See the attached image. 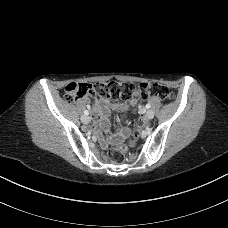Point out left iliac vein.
<instances>
[{
	"label": "left iliac vein",
	"mask_w": 228,
	"mask_h": 228,
	"mask_svg": "<svg viewBox=\"0 0 228 228\" xmlns=\"http://www.w3.org/2000/svg\"><path fill=\"white\" fill-rule=\"evenodd\" d=\"M153 117H154V112L152 110H148L146 113V118L148 120H151V119H153Z\"/></svg>",
	"instance_id": "obj_1"
}]
</instances>
